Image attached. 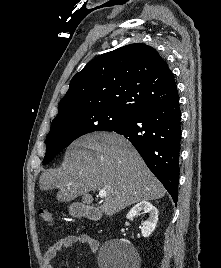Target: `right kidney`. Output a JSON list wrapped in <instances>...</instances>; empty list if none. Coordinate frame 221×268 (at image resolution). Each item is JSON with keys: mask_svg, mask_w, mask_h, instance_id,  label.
<instances>
[{"mask_svg": "<svg viewBox=\"0 0 221 268\" xmlns=\"http://www.w3.org/2000/svg\"><path fill=\"white\" fill-rule=\"evenodd\" d=\"M145 212L149 214L148 219L141 226V233L143 237H149L154 231L157 221H158V210L151 203L147 201H142L136 204L127 214V219L135 218L140 212ZM126 241V240H123ZM128 242V241H126Z\"/></svg>", "mask_w": 221, "mask_h": 268, "instance_id": "right-kidney-1", "label": "right kidney"}]
</instances>
